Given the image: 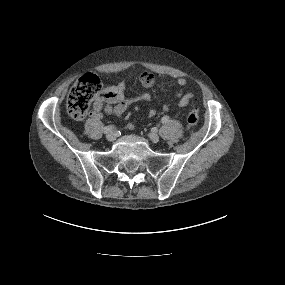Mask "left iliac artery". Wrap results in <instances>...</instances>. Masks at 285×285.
Returning a JSON list of instances; mask_svg holds the SVG:
<instances>
[{
	"instance_id": "obj_1",
	"label": "left iliac artery",
	"mask_w": 285,
	"mask_h": 285,
	"mask_svg": "<svg viewBox=\"0 0 285 285\" xmlns=\"http://www.w3.org/2000/svg\"><path fill=\"white\" fill-rule=\"evenodd\" d=\"M168 121H169V116H167V115L163 116L162 119H161L162 123H167Z\"/></svg>"
}]
</instances>
